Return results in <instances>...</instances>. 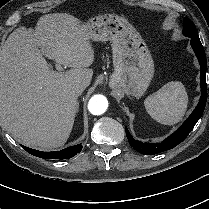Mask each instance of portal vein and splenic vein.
Listing matches in <instances>:
<instances>
[{"mask_svg": "<svg viewBox=\"0 0 209 209\" xmlns=\"http://www.w3.org/2000/svg\"><path fill=\"white\" fill-rule=\"evenodd\" d=\"M56 69H57V71H58L59 73H61V71H62L61 65L56 64Z\"/></svg>", "mask_w": 209, "mask_h": 209, "instance_id": "portal-vein-and-splenic-vein-1", "label": "portal vein and splenic vein"}]
</instances>
